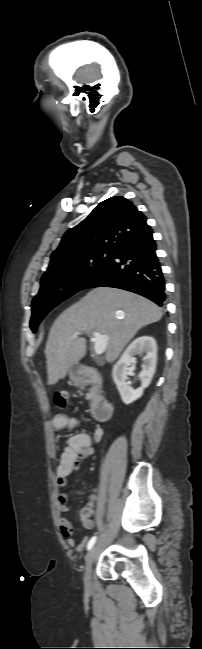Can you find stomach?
Returning <instances> with one entry per match:
<instances>
[{"instance_id": "stomach-1", "label": "stomach", "mask_w": 202, "mask_h": 649, "mask_svg": "<svg viewBox=\"0 0 202 649\" xmlns=\"http://www.w3.org/2000/svg\"><path fill=\"white\" fill-rule=\"evenodd\" d=\"M70 380L74 384H80V379L78 377V368L76 366H71L68 370Z\"/></svg>"}]
</instances>
